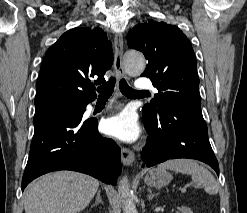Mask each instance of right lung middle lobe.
I'll list each match as a JSON object with an SVG mask.
<instances>
[{"instance_id":"obj_1","label":"right lung middle lobe","mask_w":247,"mask_h":213,"mask_svg":"<svg viewBox=\"0 0 247 213\" xmlns=\"http://www.w3.org/2000/svg\"><path fill=\"white\" fill-rule=\"evenodd\" d=\"M41 113H54L58 115L81 118L83 106L77 102L58 99L50 101L41 108L36 109L35 115Z\"/></svg>"}]
</instances>
